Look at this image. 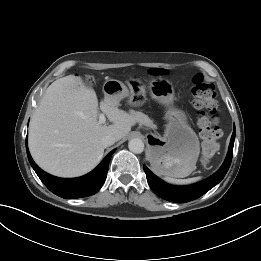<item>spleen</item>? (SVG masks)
<instances>
[{
	"instance_id": "1",
	"label": "spleen",
	"mask_w": 261,
	"mask_h": 261,
	"mask_svg": "<svg viewBox=\"0 0 261 261\" xmlns=\"http://www.w3.org/2000/svg\"><path fill=\"white\" fill-rule=\"evenodd\" d=\"M165 181L173 184H189L196 182L200 179V177L188 178V179H175L169 176L164 177Z\"/></svg>"
}]
</instances>
